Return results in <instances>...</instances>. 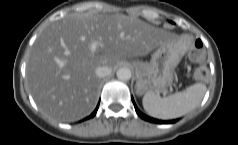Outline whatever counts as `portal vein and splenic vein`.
Instances as JSON below:
<instances>
[{
    "mask_svg": "<svg viewBox=\"0 0 238 145\" xmlns=\"http://www.w3.org/2000/svg\"><path fill=\"white\" fill-rule=\"evenodd\" d=\"M96 47H97V44H96L95 42H93V43L91 44V50H92V51H95Z\"/></svg>",
    "mask_w": 238,
    "mask_h": 145,
    "instance_id": "18ae733b",
    "label": "portal vein and splenic vein"
}]
</instances>
